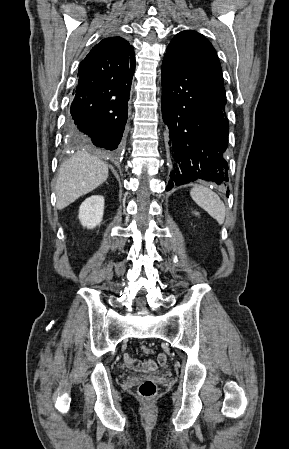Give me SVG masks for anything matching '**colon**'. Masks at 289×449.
Instances as JSON below:
<instances>
[{
  "instance_id": "colon-1",
  "label": "colon",
  "mask_w": 289,
  "mask_h": 449,
  "mask_svg": "<svg viewBox=\"0 0 289 449\" xmlns=\"http://www.w3.org/2000/svg\"><path fill=\"white\" fill-rule=\"evenodd\" d=\"M142 351L145 354H151L153 350L149 346H143ZM156 384L152 380H144L138 387L139 394L146 399L152 398L156 394Z\"/></svg>"
}]
</instances>
